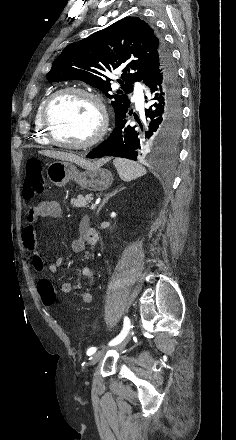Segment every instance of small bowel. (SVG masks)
Wrapping results in <instances>:
<instances>
[{
    "label": "small bowel",
    "mask_w": 236,
    "mask_h": 440,
    "mask_svg": "<svg viewBox=\"0 0 236 440\" xmlns=\"http://www.w3.org/2000/svg\"><path fill=\"white\" fill-rule=\"evenodd\" d=\"M61 215V207L56 200H43L38 204L30 207L25 216V226L22 231V242L24 247L32 253V264L37 273H56L58 268L62 265L63 259L58 257L47 266L44 263L42 255L37 250V233L35 223L39 218L51 217L58 218ZM98 241L97 231L91 227L88 217H84L79 225L78 235L71 242V249L74 252H81L86 246L95 245ZM81 275L85 279H89L93 275V269L89 265L81 268ZM74 289V284L71 281L62 283L61 290L63 293H71ZM80 300L84 304L92 301V294L89 291H84L80 295Z\"/></svg>",
    "instance_id": "obj_1"
}]
</instances>
